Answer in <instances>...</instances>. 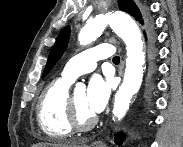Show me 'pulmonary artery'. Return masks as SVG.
Masks as SVG:
<instances>
[{"mask_svg":"<svg viewBox=\"0 0 183 147\" xmlns=\"http://www.w3.org/2000/svg\"><path fill=\"white\" fill-rule=\"evenodd\" d=\"M114 53V47L108 43L86 49L67 62L62 71V77L74 81L80 75L92 72L96 68L98 60L109 58Z\"/></svg>","mask_w":183,"mask_h":147,"instance_id":"pulmonary-artery-1","label":"pulmonary artery"}]
</instances>
